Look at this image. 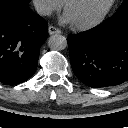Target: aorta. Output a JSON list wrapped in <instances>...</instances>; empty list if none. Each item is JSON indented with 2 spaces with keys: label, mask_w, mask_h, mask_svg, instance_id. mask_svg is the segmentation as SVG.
<instances>
[{
  "label": "aorta",
  "mask_w": 128,
  "mask_h": 128,
  "mask_svg": "<svg viewBox=\"0 0 128 128\" xmlns=\"http://www.w3.org/2000/svg\"><path fill=\"white\" fill-rule=\"evenodd\" d=\"M48 46L51 50L60 51L66 48V38L60 34H54L48 39Z\"/></svg>",
  "instance_id": "762f6f07"
}]
</instances>
